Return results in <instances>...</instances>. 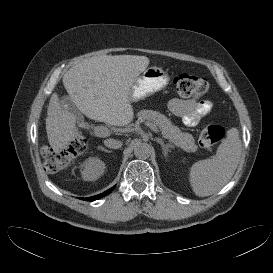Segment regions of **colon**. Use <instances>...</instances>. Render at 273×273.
I'll use <instances>...</instances> for the list:
<instances>
[{
	"label": "colon",
	"instance_id": "1",
	"mask_svg": "<svg viewBox=\"0 0 273 273\" xmlns=\"http://www.w3.org/2000/svg\"><path fill=\"white\" fill-rule=\"evenodd\" d=\"M173 84L180 96L199 98L204 96L209 89L208 81L199 76L190 74H179L173 79ZM225 135L222 126L214 123L205 125L199 137V144L203 148H210L219 143ZM86 148V140L82 135L75 136L68 146L55 152L51 148H44L42 151L43 159L47 170L59 172L65 168L71 159L81 154Z\"/></svg>",
	"mask_w": 273,
	"mask_h": 273
}]
</instances>
